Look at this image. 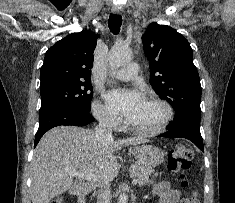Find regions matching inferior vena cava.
<instances>
[{"label":"inferior vena cava","instance_id":"1","mask_svg":"<svg viewBox=\"0 0 235 203\" xmlns=\"http://www.w3.org/2000/svg\"><path fill=\"white\" fill-rule=\"evenodd\" d=\"M113 118L109 115H102L99 118V124L95 128V133L105 140H111ZM97 203H110V182H104L100 185V191L97 197Z\"/></svg>","mask_w":235,"mask_h":203}]
</instances>
